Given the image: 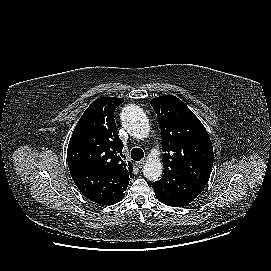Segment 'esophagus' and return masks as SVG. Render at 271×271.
Listing matches in <instances>:
<instances>
[{"instance_id":"1","label":"esophagus","mask_w":271,"mask_h":271,"mask_svg":"<svg viewBox=\"0 0 271 271\" xmlns=\"http://www.w3.org/2000/svg\"><path fill=\"white\" fill-rule=\"evenodd\" d=\"M145 162V160H141L140 162H138V168L141 169L144 166Z\"/></svg>"}]
</instances>
